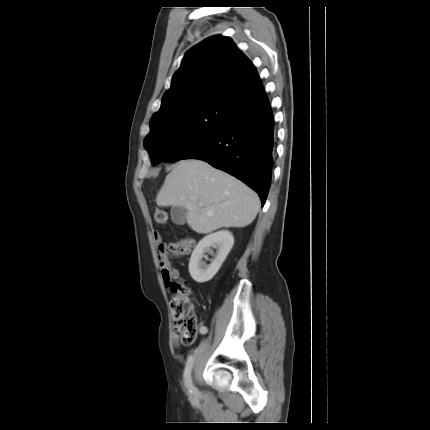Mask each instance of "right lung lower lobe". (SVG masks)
<instances>
[{"label": "right lung lower lobe", "mask_w": 430, "mask_h": 430, "mask_svg": "<svg viewBox=\"0 0 430 430\" xmlns=\"http://www.w3.org/2000/svg\"><path fill=\"white\" fill-rule=\"evenodd\" d=\"M227 108L224 128L183 159H200L237 177L258 193L263 206L271 184L276 131L262 83L252 101Z\"/></svg>", "instance_id": "right-lung-lower-lobe-1"}]
</instances>
